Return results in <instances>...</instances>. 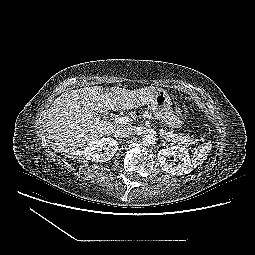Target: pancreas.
I'll use <instances>...</instances> for the list:
<instances>
[{"mask_svg":"<svg viewBox=\"0 0 255 255\" xmlns=\"http://www.w3.org/2000/svg\"><path fill=\"white\" fill-rule=\"evenodd\" d=\"M143 115L152 116V114L149 113L148 111H145ZM163 138L169 142L177 143V144H185V145H193L194 144L193 138L186 136L184 134H181V133L176 134L173 132H164Z\"/></svg>","mask_w":255,"mask_h":255,"instance_id":"1","label":"pancreas"}]
</instances>
